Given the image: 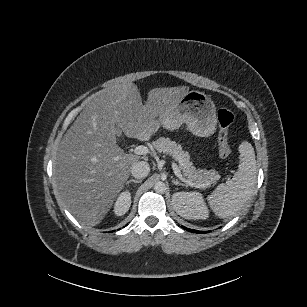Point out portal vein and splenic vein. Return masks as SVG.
<instances>
[{"mask_svg":"<svg viewBox=\"0 0 307 307\" xmlns=\"http://www.w3.org/2000/svg\"><path fill=\"white\" fill-rule=\"evenodd\" d=\"M135 152L138 155H148L150 153V149L147 146L140 145L135 148ZM171 166L173 168L174 173L177 176H180L179 166L175 163V161H171ZM198 187V186H197Z\"/></svg>","mask_w":307,"mask_h":307,"instance_id":"portal-vein-and-splenic-vein-1","label":"portal vein and splenic vein"}]
</instances>
